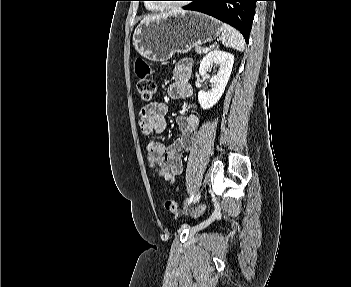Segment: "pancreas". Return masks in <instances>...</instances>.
<instances>
[{
  "label": "pancreas",
  "instance_id": "1",
  "mask_svg": "<svg viewBox=\"0 0 351 287\" xmlns=\"http://www.w3.org/2000/svg\"><path fill=\"white\" fill-rule=\"evenodd\" d=\"M203 47H201L200 45H195V51L199 54L203 53Z\"/></svg>",
  "mask_w": 351,
  "mask_h": 287
}]
</instances>
